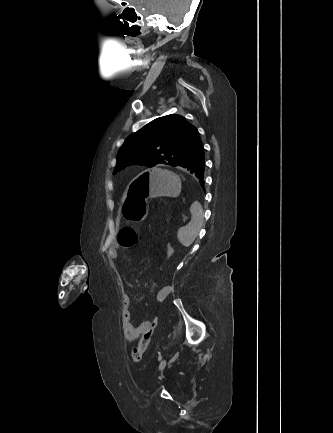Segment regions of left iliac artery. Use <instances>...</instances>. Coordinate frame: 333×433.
<instances>
[{"label":"left iliac artery","mask_w":333,"mask_h":433,"mask_svg":"<svg viewBox=\"0 0 333 433\" xmlns=\"http://www.w3.org/2000/svg\"><path fill=\"white\" fill-rule=\"evenodd\" d=\"M161 359H162V356H159V357H158V360L160 361Z\"/></svg>","instance_id":"left-iliac-artery-1"}]
</instances>
